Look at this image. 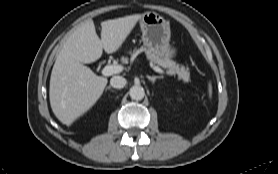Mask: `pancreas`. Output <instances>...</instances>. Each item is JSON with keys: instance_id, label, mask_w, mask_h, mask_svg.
Segmentation results:
<instances>
[{"instance_id": "1", "label": "pancreas", "mask_w": 278, "mask_h": 174, "mask_svg": "<svg viewBox=\"0 0 278 174\" xmlns=\"http://www.w3.org/2000/svg\"><path fill=\"white\" fill-rule=\"evenodd\" d=\"M136 54H137V52H134L132 54V56L135 57ZM146 54H147L148 59L152 63L157 64V65L161 66L162 68L167 69L169 74H171V75L177 74L178 79L182 80L184 83H188L190 81V72H189L188 67H185L183 65L179 66L173 60L163 57L161 55L155 54L149 50H146ZM121 61L123 63H128V58L123 57L121 59Z\"/></svg>"}]
</instances>
